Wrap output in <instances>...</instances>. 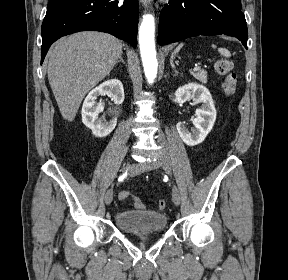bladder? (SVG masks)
Instances as JSON below:
<instances>
[{"label": "bladder", "instance_id": "31cf9c89", "mask_svg": "<svg viewBox=\"0 0 288 280\" xmlns=\"http://www.w3.org/2000/svg\"><path fill=\"white\" fill-rule=\"evenodd\" d=\"M167 221L164 213L153 210H124L114 217L116 227L130 233L163 231Z\"/></svg>", "mask_w": 288, "mask_h": 280}]
</instances>
